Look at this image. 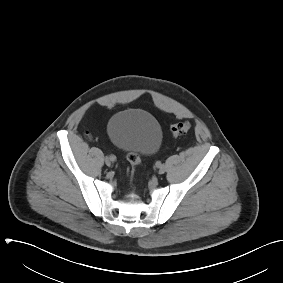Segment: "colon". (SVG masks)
<instances>
[{
	"instance_id": "colon-1",
	"label": "colon",
	"mask_w": 283,
	"mask_h": 283,
	"mask_svg": "<svg viewBox=\"0 0 283 283\" xmlns=\"http://www.w3.org/2000/svg\"><path fill=\"white\" fill-rule=\"evenodd\" d=\"M190 128H191L190 123L187 121H183L171 125L170 132L173 136H179L187 133L190 130ZM127 159L130 162V164L134 167L139 166L141 161L140 155L137 153H129Z\"/></svg>"
}]
</instances>
